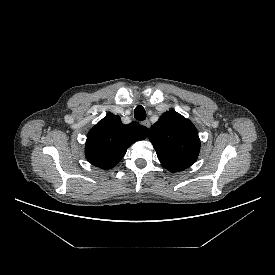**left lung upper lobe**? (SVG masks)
<instances>
[{"label": "left lung upper lobe", "mask_w": 275, "mask_h": 275, "mask_svg": "<svg viewBox=\"0 0 275 275\" xmlns=\"http://www.w3.org/2000/svg\"><path fill=\"white\" fill-rule=\"evenodd\" d=\"M149 140L162 166L171 172L190 167L198 158L200 139L192 122L174 110L152 125Z\"/></svg>", "instance_id": "obj_1"}]
</instances>
